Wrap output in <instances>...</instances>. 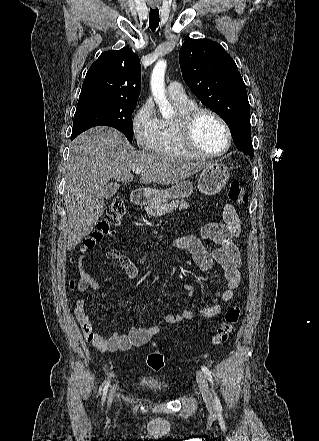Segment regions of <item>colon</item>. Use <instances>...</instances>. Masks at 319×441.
Here are the masks:
<instances>
[{
  "mask_svg": "<svg viewBox=\"0 0 319 441\" xmlns=\"http://www.w3.org/2000/svg\"><path fill=\"white\" fill-rule=\"evenodd\" d=\"M228 198L230 201L237 204H244L247 202V196L244 188L240 182L232 181L229 185ZM125 212V204L122 198L115 197L108 206L104 219L97 225V228L84 242V249H91L98 243L102 242L108 235L113 234V228L117 226ZM72 286V284H71ZM240 307L232 306L225 314L224 321L217 327L213 337L212 344L220 346L228 341L234 326L237 324L240 317ZM146 363L153 371H159L164 366L163 355L155 351L147 356Z\"/></svg>",
  "mask_w": 319,
  "mask_h": 441,
  "instance_id": "colon-1",
  "label": "colon"
}]
</instances>
